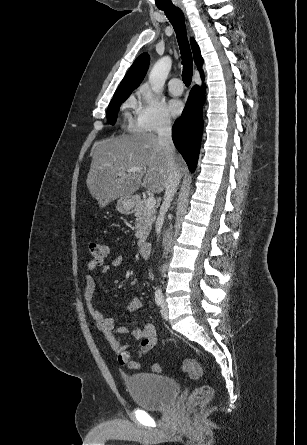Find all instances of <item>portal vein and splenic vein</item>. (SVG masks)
<instances>
[{
	"mask_svg": "<svg viewBox=\"0 0 307 445\" xmlns=\"http://www.w3.org/2000/svg\"><path fill=\"white\" fill-rule=\"evenodd\" d=\"M125 172H141L140 166H131V168H127V170H122V172H117V174H125ZM156 204V200L153 194H148V198H146V206L149 208H154Z\"/></svg>",
	"mask_w": 307,
	"mask_h": 445,
	"instance_id": "18ae733b",
	"label": "portal vein and splenic vein"
}]
</instances>
